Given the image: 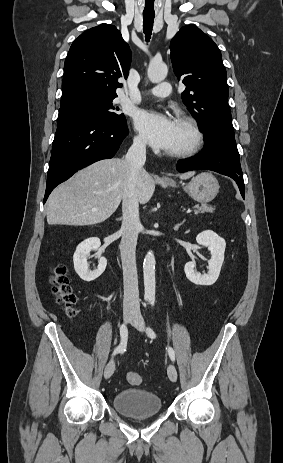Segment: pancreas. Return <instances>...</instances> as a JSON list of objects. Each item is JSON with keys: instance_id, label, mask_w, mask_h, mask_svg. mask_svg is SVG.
<instances>
[{"instance_id": "pancreas-1", "label": "pancreas", "mask_w": 283, "mask_h": 463, "mask_svg": "<svg viewBox=\"0 0 283 463\" xmlns=\"http://www.w3.org/2000/svg\"><path fill=\"white\" fill-rule=\"evenodd\" d=\"M194 208H195V214L204 213V212L212 213L215 210L214 207L206 205V204L202 206L196 205Z\"/></svg>"}]
</instances>
